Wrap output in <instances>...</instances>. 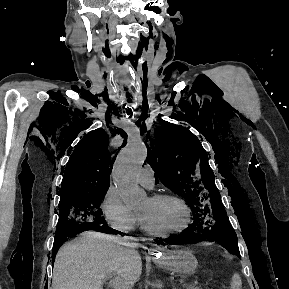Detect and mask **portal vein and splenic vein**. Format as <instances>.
Listing matches in <instances>:
<instances>
[{"mask_svg": "<svg viewBox=\"0 0 289 289\" xmlns=\"http://www.w3.org/2000/svg\"><path fill=\"white\" fill-rule=\"evenodd\" d=\"M111 280L109 285L113 289H128L127 286L121 281L119 277H115L114 275L110 276ZM187 288L194 285H185Z\"/></svg>", "mask_w": 289, "mask_h": 289, "instance_id": "1", "label": "portal vein and splenic vein"}]
</instances>
